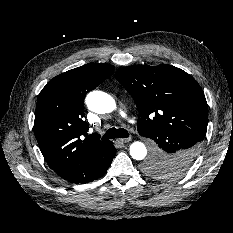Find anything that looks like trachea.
<instances>
[{"label": "trachea", "mask_w": 233, "mask_h": 233, "mask_svg": "<svg viewBox=\"0 0 233 233\" xmlns=\"http://www.w3.org/2000/svg\"><path fill=\"white\" fill-rule=\"evenodd\" d=\"M127 138L129 137V134L127 130L123 128H110L106 131V133L103 135L102 139L108 140V139H115V138Z\"/></svg>", "instance_id": "trachea-1"}]
</instances>
